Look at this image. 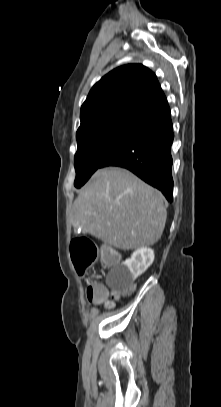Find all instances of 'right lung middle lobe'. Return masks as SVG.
Returning <instances> with one entry per match:
<instances>
[{
  "instance_id": "obj_1",
  "label": "right lung middle lobe",
  "mask_w": 221,
  "mask_h": 407,
  "mask_svg": "<svg viewBox=\"0 0 221 407\" xmlns=\"http://www.w3.org/2000/svg\"><path fill=\"white\" fill-rule=\"evenodd\" d=\"M138 127L137 124H117L100 128L77 139L78 147L74 157L76 179L74 185L80 188Z\"/></svg>"
}]
</instances>
